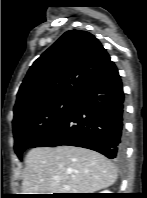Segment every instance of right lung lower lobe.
Here are the masks:
<instances>
[{
	"label": "right lung lower lobe",
	"instance_id": "obj_1",
	"mask_svg": "<svg viewBox=\"0 0 147 198\" xmlns=\"http://www.w3.org/2000/svg\"><path fill=\"white\" fill-rule=\"evenodd\" d=\"M124 93L112 62L74 102L64 118L32 148L72 145L92 149L110 159H121Z\"/></svg>",
	"mask_w": 147,
	"mask_h": 198
}]
</instances>
